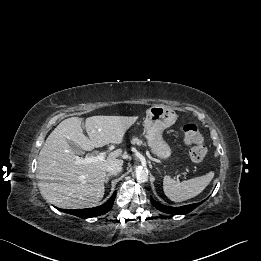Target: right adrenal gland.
Segmentation results:
<instances>
[{"instance_id": "1", "label": "right adrenal gland", "mask_w": 261, "mask_h": 261, "mask_svg": "<svg viewBox=\"0 0 261 261\" xmlns=\"http://www.w3.org/2000/svg\"><path fill=\"white\" fill-rule=\"evenodd\" d=\"M111 176H112V175H107V177H106V179H105V183H108V181H109V179H110Z\"/></svg>"}]
</instances>
